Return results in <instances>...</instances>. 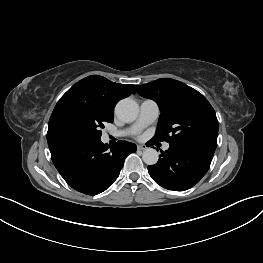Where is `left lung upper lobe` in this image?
I'll list each match as a JSON object with an SVG mask.
<instances>
[{"label": "left lung upper lobe", "mask_w": 263, "mask_h": 263, "mask_svg": "<svg viewBox=\"0 0 263 263\" xmlns=\"http://www.w3.org/2000/svg\"><path fill=\"white\" fill-rule=\"evenodd\" d=\"M135 88L139 95L156 101L161 110L153 142L166 141L215 151L218 120L211 104L201 93L169 78Z\"/></svg>", "instance_id": "1"}]
</instances>
